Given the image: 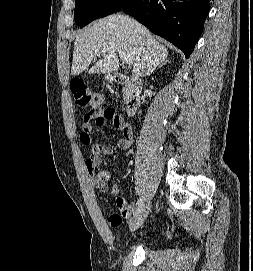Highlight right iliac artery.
Here are the masks:
<instances>
[{
    "label": "right iliac artery",
    "mask_w": 253,
    "mask_h": 271,
    "mask_svg": "<svg viewBox=\"0 0 253 271\" xmlns=\"http://www.w3.org/2000/svg\"><path fill=\"white\" fill-rule=\"evenodd\" d=\"M142 205H143V199L140 198V199L138 200V202H137V209H136V211H135V214L141 209Z\"/></svg>",
    "instance_id": "82829eb1"
}]
</instances>
